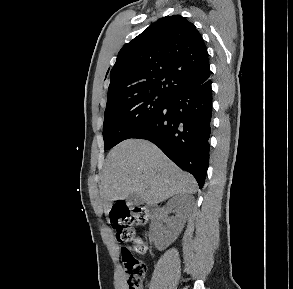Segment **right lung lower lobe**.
I'll list each match as a JSON object with an SVG mask.
<instances>
[{
	"mask_svg": "<svg viewBox=\"0 0 293 289\" xmlns=\"http://www.w3.org/2000/svg\"><path fill=\"white\" fill-rule=\"evenodd\" d=\"M212 115L211 80L180 90L129 138L156 144L176 165L191 173L202 188L209 164Z\"/></svg>",
	"mask_w": 293,
	"mask_h": 289,
	"instance_id": "obj_1",
	"label": "right lung lower lobe"
}]
</instances>
